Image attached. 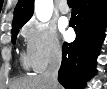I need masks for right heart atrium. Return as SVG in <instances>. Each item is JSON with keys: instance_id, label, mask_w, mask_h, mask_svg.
I'll use <instances>...</instances> for the list:
<instances>
[{"instance_id": "obj_1", "label": "right heart atrium", "mask_w": 107, "mask_h": 89, "mask_svg": "<svg viewBox=\"0 0 107 89\" xmlns=\"http://www.w3.org/2000/svg\"><path fill=\"white\" fill-rule=\"evenodd\" d=\"M22 35L26 43L28 62L34 71L41 72L60 59L62 46L53 27L31 21L23 28Z\"/></svg>"}]
</instances>
